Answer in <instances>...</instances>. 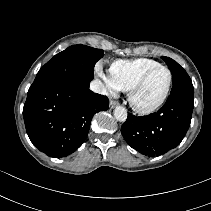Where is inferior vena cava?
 <instances>
[{
	"mask_svg": "<svg viewBox=\"0 0 211 211\" xmlns=\"http://www.w3.org/2000/svg\"><path fill=\"white\" fill-rule=\"evenodd\" d=\"M90 89L93 91V92H96V93H100V94H107V90L105 88V86L102 84V82L98 79L96 80H93L91 83H90Z\"/></svg>",
	"mask_w": 211,
	"mask_h": 211,
	"instance_id": "602c4592",
	"label": "inferior vena cava"
}]
</instances>
